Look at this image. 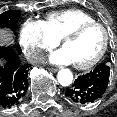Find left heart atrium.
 <instances>
[{"label": "left heart atrium", "instance_id": "39dd6f15", "mask_svg": "<svg viewBox=\"0 0 117 117\" xmlns=\"http://www.w3.org/2000/svg\"><path fill=\"white\" fill-rule=\"evenodd\" d=\"M50 61L59 64H69L73 62L70 54L65 48L60 49L53 53L52 56L50 57Z\"/></svg>", "mask_w": 117, "mask_h": 117}]
</instances>
